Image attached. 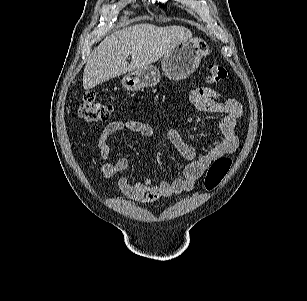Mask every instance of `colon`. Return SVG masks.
<instances>
[{
	"instance_id": "obj_1",
	"label": "colon",
	"mask_w": 307,
	"mask_h": 301,
	"mask_svg": "<svg viewBox=\"0 0 307 301\" xmlns=\"http://www.w3.org/2000/svg\"><path fill=\"white\" fill-rule=\"evenodd\" d=\"M208 80L211 83H221L228 79V71L221 65H209L207 69ZM112 112L109 104L96 99V95L87 92L83 95L79 108L81 118L86 122L96 123L106 121ZM231 167V159L222 156L217 158L208 168L205 176L204 185L206 190L215 189L222 179L226 176Z\"/></svg>"
}]
</instances>
